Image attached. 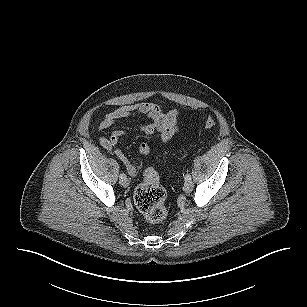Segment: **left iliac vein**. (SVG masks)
<instances>
[{
    "instance_id": "4c4485c4",
    "label": "left iliac vein",
    "mask_w": 307,
    "mask_h": 307,
    "mask_svg": "<svg viewBox=\"0 0 307 307\" xmlns=\"http://www.w3.org/2000/svg\"><path fill=\"white\" fill-rule=\"evenodd\" d=\"M194 187V183L191 179H188V180H185V183H184V191H191Z\"/></svg>"
}]
</instances>
